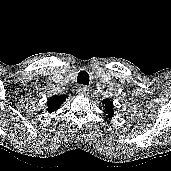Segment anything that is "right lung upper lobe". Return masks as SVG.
I'll use <instances>...</instances> for the list:
<instances>
[{"label":"right lung upper lobe","mask_w":171,"mask_h":171,"mask_svg":"<svg viewBox=\"0 0 171 171\" xmlns=\"http://www.w3.org/2000/svg\"><path fill=\"white\" fill-rule=\"evenodd\" d=\"M67 95H54L48 99L47 107L48 112H54L56 111L61 104L66 100Z\"/></svg>","instance_id":"1"}]
</instances>
